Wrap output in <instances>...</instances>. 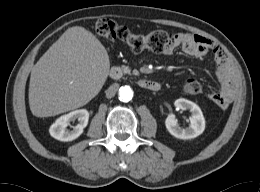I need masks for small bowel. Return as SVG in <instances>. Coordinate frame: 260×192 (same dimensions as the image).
I'll list each match as a JSON object with an SVG mask.
<instances>
[{
  "mask_svg": "<svg viewBox=\"0 0 260 192\" xmlns=\"http://www.w3.org/2000/svg\"><path fill=\"white\" fill-rule=\"evenodd\" d=\"M177 48H180L185 54L197 58L204 57L210 52L213 53L217 65L216 74L220 82V89L208 96L221 108L228 107L237 94V84L233 69L220 46L198 34L178 33L174 42L163 53L171 55Z\"/></svg>",
  "mask_w": 260,
  "mask_h": 192,
  "instance_id": "obj_1",
  "label": "small bowel"
}]
</instances>
